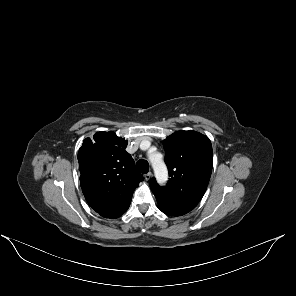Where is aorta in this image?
<instances>
[{
    "label": "aorta",
    "instance_id": "obj_1",
    "mask_svg": "<svg viewBox=\"0 0 296 296\" xmlns=\"http://www.w3.org/2000/svg\"><path fill=\"white\" fill-rule=\"evenodd\" d=\"M149 159L152 163L157 181L161 184L165 183L168 177V172L162 158L159 157V154H153L150 155Z\"/></svg>",
    "mask_w": 296,
    "mask_h": 296
}]
</instances>
